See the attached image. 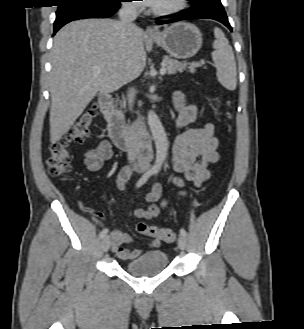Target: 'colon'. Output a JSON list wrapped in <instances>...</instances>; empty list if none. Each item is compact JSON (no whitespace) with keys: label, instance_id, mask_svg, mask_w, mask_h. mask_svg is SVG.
Masks as SVG:
<instances>
[{"label":"colon","instance_id":"obj_1","mask_svg":"<svg viewBox=\"0 0 304 329\" xmlns=\"http://www.w3.org/2000/svg\"><path fill=\"white\" fill-rule=\"evenodd\" d=\"M230 117V114H228ZM96 117V106L87 107L78 117L68 133L50 145L48 172L53 177H60L71 170V146L81 143L89 134ZM135 230L145 236L165 242H174L176 232L173 229L138 222Z\"/></svg>","mask_w":304,"mask_h":329}]
</instances>
